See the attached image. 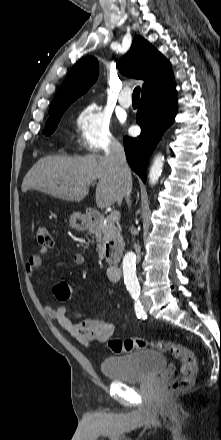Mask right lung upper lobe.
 <instances>
[{"label": "right lung upper lobe", "instance_id": "1", "mask_svg": "<svg viewBox=\"0 0 221 440\" xmlns=\"http://www.w3.org/2000/svg\"><path fill=\"white\" fill-rule=\"evenodd\" d=\"M98 67L95 57L79 60L58 89L50 109L69 106L82 96L97 80ZM118 67L122 74L144 80L142 95L159 90L173 81L170 62L139 35L134 37L130 50L120 59Z\"/></svg>", "mask_w": 221, "mask_h": 440}]
</instances>
